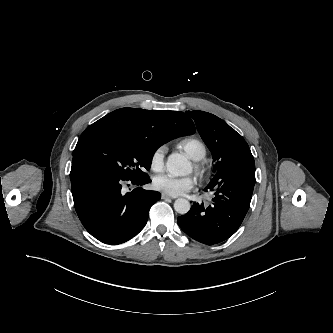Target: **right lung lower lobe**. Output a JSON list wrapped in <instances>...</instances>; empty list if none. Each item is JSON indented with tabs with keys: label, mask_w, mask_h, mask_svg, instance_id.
<instances>
[{
	"label": "right lung lower lobe",
	"mask_w": 333,
	"mask_h": 333,
	"mask_svg": "<svg viewBox=\"0 0 333 333\" xmlns=\"http://www.w3.org/2000/svg\"><path fill=\"white\" fill-rule=\"evenodd\" d=\"M70 179L81 223L107 244H120L137 235L147 223L151 206L160 199V193L141 188L150 182L149 177L124 178L82 156L73 157ZM131 184L138 187L123 194L124 185Z\"/></svg>",
	"instance_id": "obj_1"
}]
</instances>
